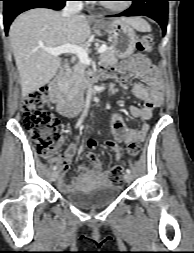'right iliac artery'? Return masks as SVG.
Here are the masks:
<instances>
[{
	"label": "right iliac artery",
	"instance_id": "1",
	"mask_svg": "<svg viewBox=\"0 0 194 253\" xmlns=\"http://www.w3.org/2000/svg\"><path fill=\"white\" fill-rule=\"evenodd\" d=\"M83 118H84V114L80 117V119L78 120L77 124H76V128H78L81 123L83 122ZM57 169V166H53V170L55 171Z\"/></svg>",
	"mask_w": 194,
	"mask_h": 253
}]
</instances>
